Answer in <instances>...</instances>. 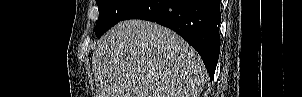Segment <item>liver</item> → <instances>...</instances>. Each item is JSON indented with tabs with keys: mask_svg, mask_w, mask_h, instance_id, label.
Here are the masks:
<instances>
[{
	"mask_svg": "<svg viewBox=\"0 0 302 97\" xmlns=\"http://www.w3.org/2000/svg\"><path fill=\"white\" fill-rule=\"evenodd\" d=\"M92 66L97 97H199L207 80L202 59L186 41L144 20L110 29Z\"/></svg>",
	"mask_w": 302,
	"mask_h": 97,
	"instance_id": "6515ba94",
	"label": "liver"
}]
</instances>
